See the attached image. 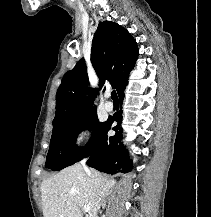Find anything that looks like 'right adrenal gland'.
<instances>
[{
    "instance_id": "1",
    "label": "right adrenal gland",
    "mask_w": 211,
    "mask_h": 217,
    "mask_svg": "<svg viewBox=\"0 0 211 217\" xmlns=\"http://www.w3.org/2000/svg\"><path fill=\"white\" fill-rule=\"evenodd\" d=\"M111 192H112V190H110V192L102 198L101 205H102L103 208L106 207V196L111 194Z\"/></svg>"
}]
</instances>
